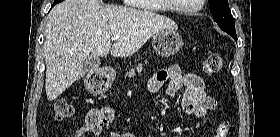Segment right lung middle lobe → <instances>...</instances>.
Instances as JSON below:
<instances>
[{
  "mask_svg": "<svg viewBox=\"0 0 280 137\" xmlns=\"http://www.w3.org/2000/svg\"><path fill=\"white\" fill-rule=\"evenodd\" d=\"M62 0H55L54 2H61Z\"/></svg>",
  "mask_w": 280,
  "mask_h": 137,
  "instance_id": "obj_1",
  "label": "right lung middle lobe"
}]
</instances>
